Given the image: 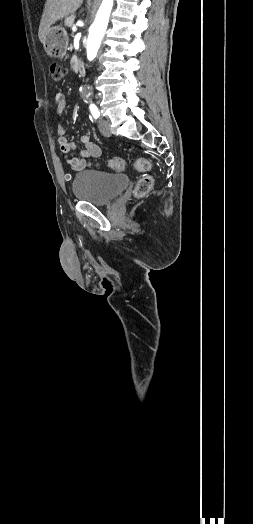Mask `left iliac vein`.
I'll return each instance as SVG.
<instances>
[{
	"label": "left iliac vein",
	"instance_id": "4c4485c4",
	"mask_svg": "<svg viewBox=\"0 0 253 524\" xmlns=\"http://www.w3.org/2000/svg\"><path fill=\"white\" fill-rule=\"evenodd\" d=\"M99 130L103 136L109 137L111 135L109 121L105 119H100L99 120Z\"/></svg>",
	"mask_w": 253,
	"mask_h": 524
}]
</instances>
